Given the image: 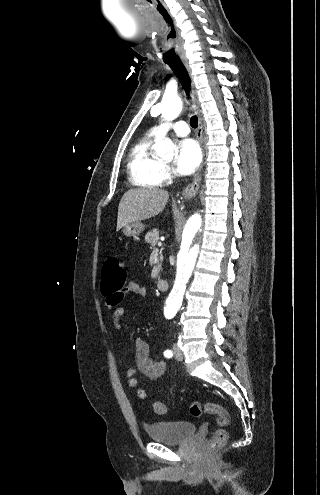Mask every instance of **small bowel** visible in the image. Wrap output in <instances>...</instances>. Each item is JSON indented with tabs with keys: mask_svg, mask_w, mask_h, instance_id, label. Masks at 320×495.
<instances>
[{
	"mask_svg": "<svg viewBox=\"0 0 320 495\" xmlns=\"http://www.w3.org/2000/svg\"><path fill=\"white\" fill-rule=\"evenodd\" d=\"M131 293L145 296L147 294V288L135 282H129L124 285L121 291L105 294L106 306L112 312V319L117 330L121 329L120 322L126 312V308L121 306V302L125 295ZM133 344L135 347V367H129L126 371L129 378L128 386L134 389L140 398H144L146 391L139 387L138 380L134 377L135 374L139 372L151 380L158 379L165 374L166 363L157 357L151 356L149 345L144 339L135 336L133 338Z\"/></svg>",
	"mask_w": 320,
	"mask_h": 495,
	"instance_id": "obj_1",
	"label": "small bowel"
}]
</instances>
